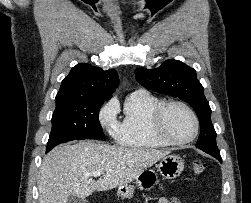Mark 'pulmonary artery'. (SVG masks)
<instances>
[{
	"label": "pulmonary artery",
	"instance_id": "e3ab8cb5",
	"mask_svg": "<svg viewBox=\"0 0 251 203\" xmlns=\"http://www.w3.org/2000/svg\"><path fill=\"white\" fill-rule=\"evenodd\" d=\"M134 93H138V94H144V93H147L145 90L143 89H140V90H137L136 92Z\"/></svg>",
	"mask_w": 251,
	"mask_h": 203
}]
</instances>
